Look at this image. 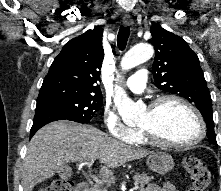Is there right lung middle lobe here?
<instances>
[{
  "instance_id": "1",
  "label": "right lung middle lobe",
  "mask_w": 221,
  "mask_h": 191,
  "mask_svg": "<svg viewBox=\"0 0 221 191\" xmlns=\"http://www.w3.org/2000/svg\"><path fill=\"white\" fill-rule=\"evenodd\" d=\"M37 105L52 108L67 120L88 123L103 106L102 97L77 96L37 101Z\"/></svg>"
}]
</instances>
